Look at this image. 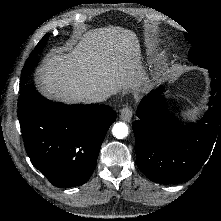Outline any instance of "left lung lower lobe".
<instances>
[{
  "mask_svg": "<svg viewBox=\"0 0 221 221\" xmlns=\"http://www.w3.org/2000/svg\"><path fill=\"white\" fill-rule=\"evenodd\" d=\"M209 109L197 123L182 125L173 117L159 87L145 96L134 121L137 166L156 183L173 184L190 180L221 138V80L212 69Z\"/></svg>",
  "mask_w": 221,
  "mask_h": 221,
  "instance_id": "left-lung-lower-lobe-1",
  "label": "left lung lower lobe"
}]
</instances>
